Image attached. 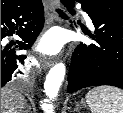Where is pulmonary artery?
Masks as SVG:
<instances>
[{
    "instance_id": "e3ab8cb5",
    "label": "pulmonary artery",
    "mask_w": 123,
    "mask_h": 113,
    "mask_svg": "<svg viewBox=\"0 0 123 113\" xmlns=\"http://www.w3.org/2000/svg\"><path fill=\"white\" fill-rule=\"evenodd\" d=\"M85 20L90 27H93L92 20L85 14Z\"/></svg>"
}]
</instances>
